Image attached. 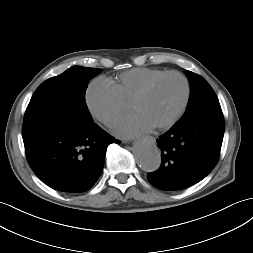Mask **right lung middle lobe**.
<instances>
[{
    "label": "right lung middle lobe",
    "mask_w": 253,
    "mask_h": 253,
    "mask_svg": "<svg viewBox=\"0 0 253 253\" xmlns=\"http://www.w3.org/2000/svg\"><path fill=\"white\" fill-rule=\"evenodd\" d=\"M99 73V68L73 66L42 83L26 109L22 127L23 140L51 125L92 122L85 92L89 80Z\"/></svg>",
    "instance_id": "right-lung-middle-lobe-1"
}]
</instances>
